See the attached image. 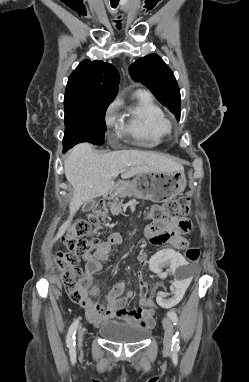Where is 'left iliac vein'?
I'll list each match as a JSON object with an SVG mask.
<instances>
[{"instance_id": "obj_1", "label": "left iliac vein", "mask_w": 249, "mask_h": 382, "mask_svg": "<svg viewBox=\"0 0 249 382\" xmlns=\"http://www.w3.org/2000/svg\"><path fill=\"white\" fill-rule=\"evenodd\" d=\"M162 322H163V328H164V340H163L164 350L166 352H170L172 347V338L174 334L173 323L168 317L163 318Z\"/></svg>"}]
</instances>
